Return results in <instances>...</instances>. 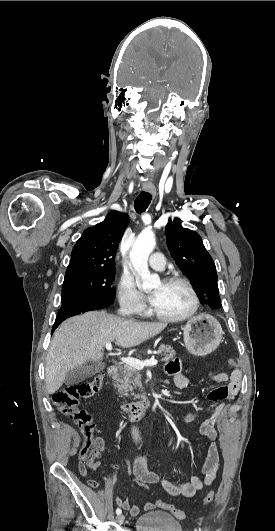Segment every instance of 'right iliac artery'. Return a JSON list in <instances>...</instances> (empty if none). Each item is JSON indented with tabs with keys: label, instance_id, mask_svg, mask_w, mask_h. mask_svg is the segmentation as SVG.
Returning a JSON list of instances; mask_svg holds the SVG:
<instances>
[{
	"label": "right iliac artery",
	"instance_id": "right-iliac-artery-1",
	"mask_svg": "<svg viewBox=\"0 0 275 531\" xmlns=\"http://www.w3.org/2000/svg\"><path fill=\"white\" fill-rule=\"evenodd\" d=\"M121 512H122V511H121V509H119V508L116 510V514H117V515H120Z\"/></svg>",
	"mask_w": 275,
	"mask_h": 531
}]
</instances>
